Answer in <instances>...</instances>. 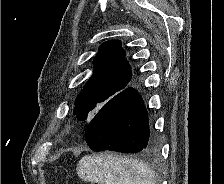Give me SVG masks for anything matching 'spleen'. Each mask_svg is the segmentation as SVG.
I'll list each match as a JSON object with an SVG mask.
<instances>
[{
  "label": "spleen",
  "mask_w": 224,
  "mask_h": 184,
  "mask_svg": "<svg viewBox=\"0 0 224 184\" xmlns=\"http://www.w3.org/2000/svg\"><path fill=\"white\" fill-rule=\"evenodd\" d=\"M76 171L82 181L97 184H156L145 163L114 154L86 155Z\"/></svg>",
  "instance_id": "obj_1"
}]
</instances>
